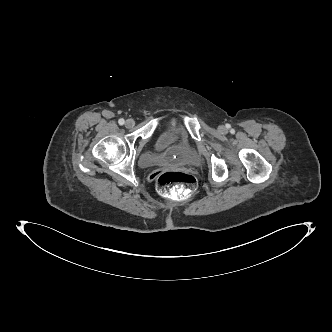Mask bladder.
Segmentation results:
<instances>
[{
  "instance_id": "31cf9c89",
  "label": "bladder",
  "mask_w": 332,
  "mask_h": 332,
  "mask_svg": "<svg viewBox=\"0 0 332 332\" xmlns=\"http://www.w3.org/2000/svg\"><path fill=\"white\" fill-rule=\"evenodd\" d=\"M154 152H143L138 163L143 168L153 166H198L200 156L187 135L178 127L164 129L156 138Z\"/></svg>"
}]
</instances>
